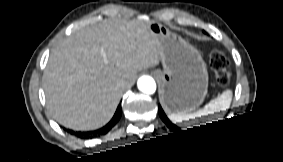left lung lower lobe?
Listing matches in <instances>:
<instances>
[{
  "mask_svg": "<svg viewBox=\"0 0 283 162\" xmlns=\"http://www.w3.org/2000/svg\"><path fill=\"white\" fill-rule=\"evenodd\" d=\"M158 109H159V115H160L161 119L168 125V127H170L172 130H175L176 133H182V134L188 133V131H189L190 129L181 130L180 128H178L177 126H175L173 123H171V121L166 117V115H165V113H164V111L162 110V108H161L160 105H159ZM219 121H220V120H219ZM212 123H214V122H212ZM206 125H208V124H206ZM194 128H195V127H194Z\"/></svg>",
  "mask_w": 283,
  "mask_h": 162,
  "instance_id": "0a47b994",
  "label": "left lung lower lobe"
}]
</instances>
